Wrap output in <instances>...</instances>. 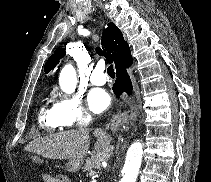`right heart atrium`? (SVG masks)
I'll return each mask as SVG.
<instances>
[{
	"instance_id": "d8ad5b80",
	"label": "right heart atrium",
	"mask_w": 211,
	"mask_h": 182,
	"mask_svg": "<svg viewBox=\"0 0 211 182\" xmlns=\"http://www.w3.org/2000/svg\"><path fill=\"white\" fill-rule=\"evenodd\" d=\"M53 109L64 126L82 125L90 120L80 95H57Z\"/></svg>"
}]
</instances>
